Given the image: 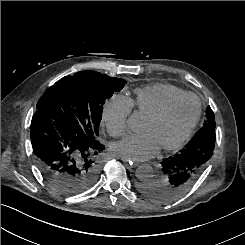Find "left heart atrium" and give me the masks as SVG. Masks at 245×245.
I'll use <instances>...</instances> for the list:
<instances>
[{"label":"left heart atrium","mask_w":245,"mask_h":245,"mask_svg":"<svg viewBox=\"0 0 245 245\" xmlns=\"http://www.w3.org/2000/svg\"><path fill=\"white\" fill-rule=\"evenodd\" d=\"M159 149L160 146L149 132L127 135L112 146L115 154L137 161L153 157Z\"/></svg>","instance_id":"1"}]
</instances>
